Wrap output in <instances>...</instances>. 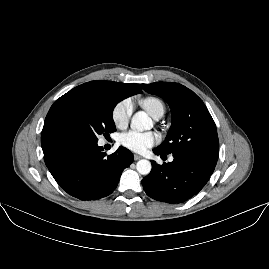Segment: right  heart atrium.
<instances>
[{"label": "right heart atrium", "mask_w": 269, "mask_h": 269, "mask_svg": "<svg viewBox=\"0 0 269 269\" xmlns=\"http://www.w3.org/2000/svg\"><path fill=\"white\" fill-rule=\"evenodd\" d=\"M133 103L130 98L119 101L112 110V120L117 128H124L132 115Z\"/></svg>", "instance_id": "d8ad5b80"}]
</instances>
